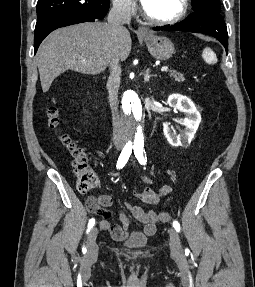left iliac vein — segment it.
Here are the masks:
<instances>
[{"instance_id": "obj_1", "label": "left iliac vein", "mask_w": 255, "mask_h": 287, "mask_svg": "<svg viewBox=\"0 0 255 287\" xmlns=\"http://www.w3.org/2000/svg\"><path fill=\"white\" fill-rule=\"evenodd\" d=\"M169 235H170L169 246H170L171 253L173 256L178 257L182 253V246H181L179 235L177 231L173 228L169 229Z\"/></svg>"}]
</instances>
